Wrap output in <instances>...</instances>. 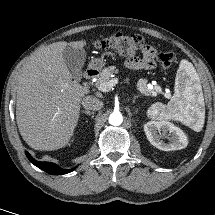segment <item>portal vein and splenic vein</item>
Masks as SVG:
<instances>
[{"mask_svg": "<svg viewBox=\"0 0 215 215\" xmlns=\"http://www.w3.org/2000/svg\"><path fill=\"white\" fill-rule=\"evenodd\" d=\"M118 78H113L108 82L101 83L100 85H97L98 90L102 92H108L110 89L115 86L118 83Z\"/></svg>", "mask_w": 215, "mask_h": 215, "instance_id": "1", "label": "portal vein and splenic vein"}]
</instances>
